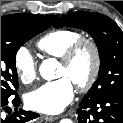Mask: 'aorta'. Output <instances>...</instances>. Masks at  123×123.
I'll list each match as a JSON object with an SVG mask.
<instances>
[{
	"label": "aorta",
	"mask_w": 123,
	"mask_h": 123,
	"mask_svg": "<svg viewBox=\"0 0 123 123\" xmlns=\"http://www.w3.org/2000/svg\"><path fill=\"white\" fill-rule=\"evenodd\" d=\"M57 61L54 58L46 59L39 67V73L45 80H52L55 78V69L57 67ZM59 123H73L72 120L66 118L62 119Z\"/></svg>",
	"instance_id": "aorta-1"
}]
</instances>
